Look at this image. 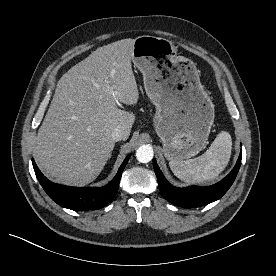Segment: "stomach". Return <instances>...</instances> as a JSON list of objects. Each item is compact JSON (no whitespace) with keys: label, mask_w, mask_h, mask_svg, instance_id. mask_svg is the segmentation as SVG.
Instances as JSON below:
<instances>
[{"label":"stomach","mask_w":276,"mask_h":276,"mask_svg":"<svg viewBox=\"0 0 276 276\" xmlns=\"http://www.w3.org/2000/svg\"><path fill=\"white\" fill-rule=\"evenodd\" d=\"M131 60L142 72L147 96L156 107L154 127L168 160L188 159L205 146L214 122V105L195 63L177 54L169 40L135 39Z\"/></svg>","instance_id":"0dacf381"}]
</instances>
